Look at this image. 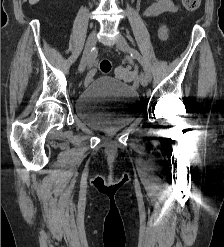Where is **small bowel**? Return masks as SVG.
I'll list each match as a JSON object with an SVG mask.
<instances>
[{"label": "small bowel", "instance_id": "obj_1", "mask_svg": "<svg viewBox=\"0 0 224 247\" xmlns=\"http://www.w3.org/2000/svg\"><path fill=\"white\" fill-rule=\"evenodd\" d=\"M178 7L172 0H153L148 3L143 15L145 17H156L163 13H175ZM159 36L161 39H166L168 36V29L165 25L160 26Z\"/></svg>", "mask_w": 224, "mask_h": 247}]
</instances>
